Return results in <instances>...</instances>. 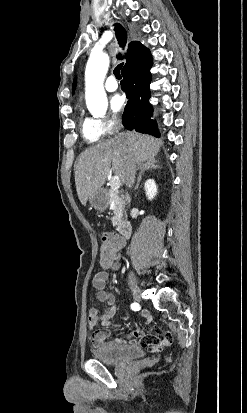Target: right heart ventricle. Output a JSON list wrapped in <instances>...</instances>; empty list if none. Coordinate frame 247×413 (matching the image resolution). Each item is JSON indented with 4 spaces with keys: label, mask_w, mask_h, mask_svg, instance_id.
<instances>
[{
    "label": "right heart ventricle",
    "mask_w": 247,
    "mask_h": 413,
    "mask_svg": "<svg viewBox=\"0 0 247 413\" xmlns=\"http://www.w3.org/2000/svg\"><path fill=\"white\" fill-rule=\"evenodd\" d=\"M82 135L88 143L95 144L100 139L101 133H96L93 126L85 124L82 127Z\"/></svg>",
    "instance_id": "e07e8e85"
}]
</instances>
